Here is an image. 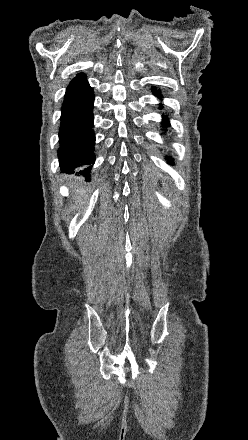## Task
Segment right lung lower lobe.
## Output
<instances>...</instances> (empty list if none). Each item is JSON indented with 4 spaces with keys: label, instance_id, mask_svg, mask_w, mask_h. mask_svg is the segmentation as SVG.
<instances>
[{
    "label": "right lung lower lobe",
    "instance_id": "obj_1",
    "mask_svg": "<svg viewBox=\"0 0 248 440\" xmlns=\"http://www.w3.org/2000/svg\"><path fill=\"white\" fill-rule=\"evenodd\" d=\"M93 90L85 81L66 90L61 109L58 157L63 171L71 174L80 169L79 174L90 180L95 136L93 127Z\"/></svg>",
    "mask_w": 248,
    "mask_h": 440
}]
</instances>
